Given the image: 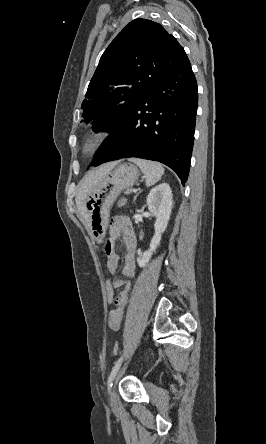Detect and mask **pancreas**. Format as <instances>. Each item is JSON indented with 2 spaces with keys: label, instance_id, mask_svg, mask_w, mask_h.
<instances>
[{
  "label": "pancreas",
  "instance_id": "pancreas-1",
  "mask_svg": "<svg viewBox=\"0 0 266 444\" xmlns=\"http://www.w3.org/2000/svg\"><path fill=\"white\" fill-rule=\"evenodd\" d=\"M133 190L131 189V188H128L126 191H125V194H129V193H131Z\"/></svg>",
  "mask_w": 266,
  "mask_h": 444
}]
</instances>
